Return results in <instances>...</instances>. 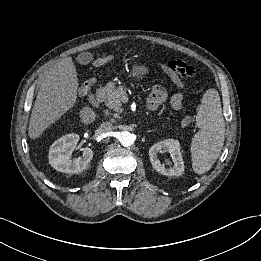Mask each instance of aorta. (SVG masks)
Segmentation results:
<instances>
[{
	"instance_id": "obj_1",
	"label": "aorta",
	"mask_w": 261,
	"mask_h": 261,
	"mask_svg": "<svg viewBox=\"0 0 261 261\" xmlns=\"http://www.w3.org/2000/svg\"><path fill=\"white\" fill-rule=\"evenodd\" d=\"M118 139L120 141V143L125 146L128 147L130 145H132L134 143V137L133 135L128 132V131H122L119 133Z\"/></svg>"
}]
</instances>
